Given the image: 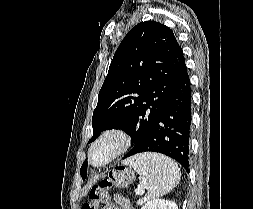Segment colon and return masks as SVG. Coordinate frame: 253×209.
Masks as SVG:
<instances>
[{
	"mask_svg": "<svg viewBox=\"0 0 253 209\" xmlns=\"http://www.w3.org/2000/svg\"><path fill=\"white\" fill-rule=\"evenodd\" d=\"M133 180V174L126 169H117L109 174V176L102 180L98 185L93 186L90 189L91 203L84 204L82 209H97L98 202L102 199L105 191L112 185L126 186ZM112 205L106 204L103 209Z\"/></svg>",
	"mask_w": 253,
	"mask_h": 209,
	"instance_id": "1",
	"label": "colon"
}]
</instances>
